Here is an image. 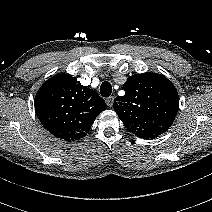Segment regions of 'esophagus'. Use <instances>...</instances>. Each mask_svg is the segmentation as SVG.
I'll list each match as a JSON object with an SVG mask.
<instances>
[{"instance_id": "obj_1", "label": "esophagus", "mask_w": 212, "mask_h": 212, "mask_svg": "<svg viewBox=\"0 0 212 212\" xmlns=\"http://www.w3.org/2000/svg\"><path fill=\"white\" fill-rule=\"evenodd\" d=\"M113 103H114V97L113 96L106 99L107 106L112 107Z\"/></svg>"}]
</instances>
